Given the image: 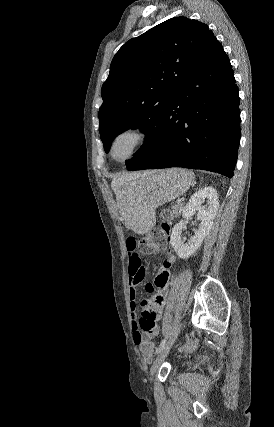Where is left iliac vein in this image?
Returning a JSON list of instances; mask_svg holds the SVG:
<instances>
[{
	"label": "left iliac vein",
	"mask_w": 274,
	"mask_h": 427,
	"mask_svg": "<svg viewBox=\"0 0 274 427\" xmlns=\"http://www.w3.org/2000/svg\"><path fill=\"white\" fill-rule=\"evenodd\" d=\"M182 323H179V325L175 328L172 336L169 338L168 342L165 344L164 348L159 353L158 357L155 359L149 374V379L152 380L155 373L158 372L161 365L164 363L172 345L174 344L176 338L179 335V332L181 331Z\"/></svg>",
	"instance_id": "1"
}]
</instances>
